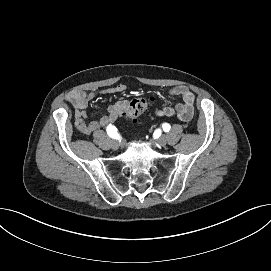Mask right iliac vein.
<instances>
[{
  "mask_svg": "<svg viewBox=\"0 0 271 271\" xmlns=\"http://www.w3.org/2000/svg\"><path fill=\"white\" fill-rule=\"evenodd\" d=\"M112 146H113L114 149H117V148L119 147L118 141H117V140H114V141L112 142Z\"/></svg>",
  "mask_w": 271,
  "mask_h": 271,
  "instance_id": "obj_1",
  "label": "right iliac vein"
}]
</instances>
